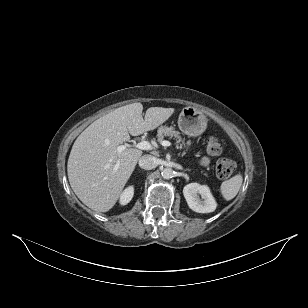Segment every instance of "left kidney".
I'll return each instance as SVG.
<instances>
[{
    "label": "left kidney",
    "mask_w": 308,
    "mask_h": 308,
    "mask_svg": "<svg viewBox=\"0 0 308 308\" xmlns=\"http://www.w3.org/2000/svg\"><path fill=\"white\" fill-rule=\"evenodd\" d=\"M183 194L188 206L195 212L210 213L216 209V201L206 185L190 183L184 187Z\"/></svg>",
    "instance_id": "5707ae66"
}]
</instances>
